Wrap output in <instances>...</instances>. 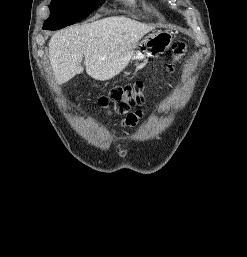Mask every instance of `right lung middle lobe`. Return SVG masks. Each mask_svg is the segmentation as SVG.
Segmentation results:
<instances>
[{
  "label": "right lung middle lobe",
  "instance_id": "right-lung-middle-lobe-1",
  "mask_svg": "<svg viewBox=\"0 0 247 257\" xmlns=\"http://www.w3.org/2000/svg\"><path fill=\"white\" fill-rule=\"evenodd\" d=\"M100 0H52L44 27L53 30L79 22L91 14Z\"/></svg>",
  "mask_w": 247,
  "mask_h": 257
}]
</instances>
